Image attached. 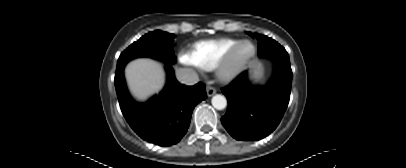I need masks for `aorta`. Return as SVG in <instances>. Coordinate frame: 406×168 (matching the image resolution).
Wrapping results in <instances>:
<instances>
[{
	"label": "aorta",
	"mask_w": 406,
	"mask_h": 168,
	"mask_svg": "<svg viewBox=\"0 0 406 168\" xmlns=\"http://www.w3.org/2000/svg\"><path fill=\"white\" fill-rule=\"evenodd\" d=\"M211 102L213 107L217 110H223L227 106V99L220 94L213 96Z\"/></svg>",
	"instance_id": "aorta-1"
}]
</instances>
